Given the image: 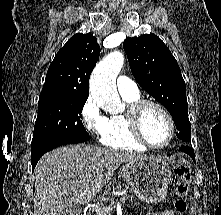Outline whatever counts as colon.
Returning <instances> with one entry per match:
<instances>
[{
  "mask_svg": "<svg viewBox=\"0 0 221 215\" xmlns=\"http://www.w3.org/2000/svg\"><path fill=\"white\" fill-rule=\"evenodd\" d=\"M191 178V165L187 160H184L175 166L174 185L175 195L177 197L175 209L178 212H185L187 209L186 197L190 190Z\"/></svg>",
  "mask_w": 221,
  "mask_h": 215,
  "instance_id": "colon-1",
  "label": "colon"
}]
</instances>
